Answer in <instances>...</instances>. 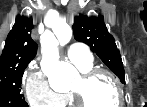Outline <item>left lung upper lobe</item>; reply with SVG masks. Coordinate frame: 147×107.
Masks as SVG:
<instances>
[{"label": "left lung upper lobe", "instance_id": "1", "mask_svg": "<svg viewBox=\"0 0 147 107\" xmlns=\"http://www.w3.org/2000/svg\"><path fill=\"white\" fill-rule=\"evenodd\" d=\"M77 41L86 43L103 63L125 84V73L114 37L108 32L103 17L80 16L72 26Z\"/></svg>", "mask_w": 147, "mask_h": 107}]
</instances>
